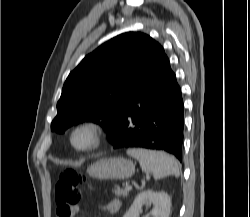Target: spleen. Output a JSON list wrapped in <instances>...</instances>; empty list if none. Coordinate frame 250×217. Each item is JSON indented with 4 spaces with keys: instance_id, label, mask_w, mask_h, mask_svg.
Listing matches in <instances>:
<instances>
[{
    "instance_id": "3e777b00",
    "label": "spleen",
    "mask_w": 250,
    "mask_h": 217,
    "mask_svg": "<svg viewBox=\"0 0 250 217\" xmlns=\"http://www.w3.org/2000/svg\"><path fill=\"white\" fill-rule=\"evenodd\" d=\"M127 154L136 158L142 170L146 173H152L156 180L169 175L179 176L177 160L165 152L130 148L127 150Z\"/></svg>"
}]
</instances>
